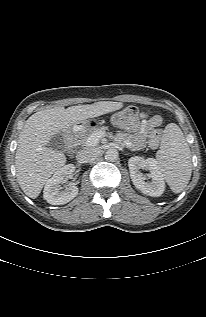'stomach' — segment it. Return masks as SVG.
<instances>
[{
	"label": "stomach",
	"instance_id": "stomach-1",
	"mask_svg": "<svg viewBox=\"0 0 206 317\" xmlns=\"http://www.w3.org/2000/svg\"><path fill=\"white\" fill-rule=\"evenodd\" d=\"M107 125H108V121H107L106 117L99 115V116H94V117H91L89 119H85V120L81 121L79 128H80L81 132H83L86 129L91 131L97 127L99 128L100 126H103L104 128H106Z\"/></svg>",
	"mask_w": 206,
	"mask_h": 317
}]
</instances>
